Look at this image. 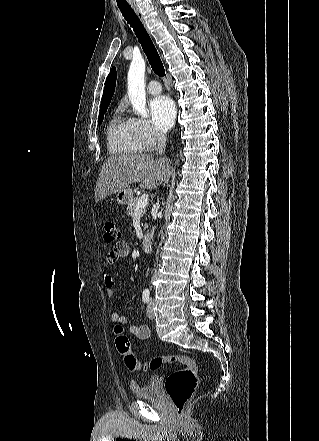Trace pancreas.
Returning <instances> with one entry per match:
<instances>
[{"label":"pancreas","mask_w":319,"mask_h":441,"mask_svg":"<svg viewBox=\"0 0 319 441\" xmlns=\"http://www.w3.org/2000/svg\"><path fill=\"white\" fill-rule=\"evenodd\" d=\"M138 201H139V198L136 197V198L132 199V201L128 204V206H127V215L133 216V213H134V211L136 209Z\"/></svg>","instance_id":"1"}]
</instances>
